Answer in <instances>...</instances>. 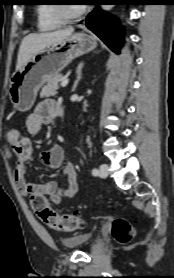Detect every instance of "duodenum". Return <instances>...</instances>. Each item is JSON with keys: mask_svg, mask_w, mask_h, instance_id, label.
Returning <instances> with one entry per match:
<instances>
[{"mask_svg": "<svg viewBox=\"0 0 174 278\" xmlns=\"http://www.w3.org/2000/svg\"><path fill=\"white\" fill-rule=\"evenodd\" d=\"M59 114L63 115V108L62 107L59 108Z\"/></svg>", "mask_w": 174, "mask_h": 278, "instance_id": "410a0bca", "label": "duodenum"}]
</instances>
